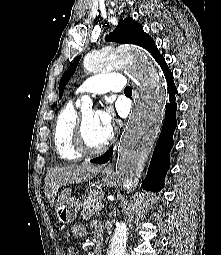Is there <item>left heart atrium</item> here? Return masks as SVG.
Wrapping results in <instances>:
<instances>
[{"mask_svg": "<svg viewBox=\"0 0 221 255\" xmlns=\"http://www.w3.org/2000/svg\"><path fill=\"white\" fill-rule=\"evenodd\" d=\"M97 118L101 125L108 130H112L114 124V112L110 107H106L97 112Z\"/></svg>", "mask_w": 221, "mask_h": 255, "instance_id": "obj_1", "label": "left heart atrium"}]
</instances>
